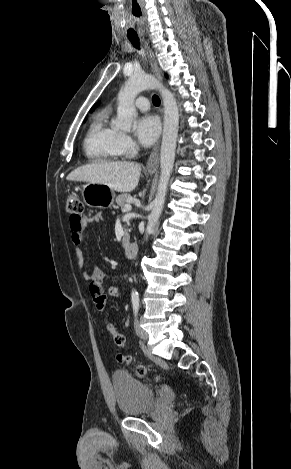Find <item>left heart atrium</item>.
<instances>
[{"label": "left heart atrium", "mask_w": 291, "mask_h": 469, "mask_svg": "<svg viewBox=\"0 0 291 469\" xmlns=\"http://www.w3.org/2000/svg\"><path fill=\"white\" fill-rule=\"evenodd\" d=\"M135 134L144 146H151L160 134V122L151 114L139 117L135 123Z\"/></svg>", "instance_id": "left-heart-atrium-1"}]
</instances>
